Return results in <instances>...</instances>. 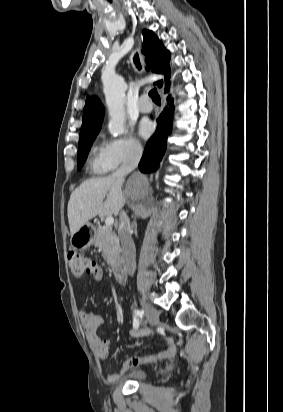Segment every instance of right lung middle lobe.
I'll use <instances>...</instances> for the list:
<instances>
[{"label":"right lung middle lobe","instance_id":"dd1d6c3e","mask_svg":"<svg viewBox=\"0 0 283 412\" xmlns=\"http://www.w3.org/2000/svg\"><path fill=\"white\" fill-rule=\"evenodd\" d=\"M98 132H94L88 135H85L83 137H80L79 139V148H78V154H77V167L80 169L82 165L84 164L88 152L90 150V147L96 137Z\"/></svg>","mask_w":283,"mask_h":412}]
</instances>
